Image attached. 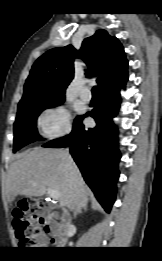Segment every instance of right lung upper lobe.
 <instances>
[{"label": "right lung upper lobe", "mask_w": 162, "mask_h": 261, "mask_svg": "<svg viewBox=\"0 0 162 261\" xmlns=\"http://www.w3.org/2000/svg\"><path fill=\"white\" fill-rule=\"evenodd\" d=\"M79 55L86 63V76L98 79L101 93L115 90L128 80V61L119 40L106 30H97L82 42L79 51L71 45L54 48L39 57L27 78L21 99L34 96H64L74 77V58Z\"/></svg>", "instance_id": "right-lung-upper-lobe-1"}]
</instances>
